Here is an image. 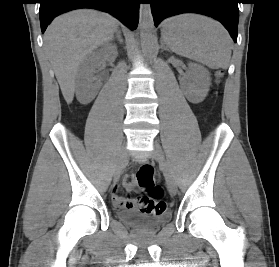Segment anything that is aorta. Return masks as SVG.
Returning <instances> with one entry per match:
<instances>
[{
  "label": "aorta",
  "mask_w": 279,
  "mask_h": 267,
  "mask_svg": "<svg viewBox=\"0 0 279 267\" xmlns=\"http://www.w3.org/2000/svg\"><path fill=\"white\" fill-rule=\"evenodd\" d=\"M139 29L142 47L149 52L154 45V21L150 3L140 4Z\"/></svg>",
  "instance_id": "aorta-1"
}]
</instances>
